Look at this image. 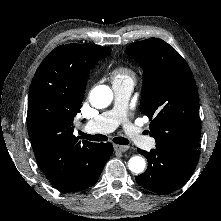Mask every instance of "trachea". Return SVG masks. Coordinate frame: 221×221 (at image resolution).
Segmentation results:
<instances>
[{"instance_id": "obj_1", "label": "trachea", "mask_w": 221, "mask_h": 221, "mask_svg": "<svg viewBox=\"0 0 221 221\" xmlns=\"http://www.w3.org/2000/svg\"><path fill=\"white\" fill-rule=\"evenodd\" d=\"M80 135L83 139H87L90 141H98V142L101 141L102 142V141H107V139H108L107 136L102 135V134L90 135L87 133L80 132ZM113 142L116 144H119V145L129 144L128 139L123 138V137H115V138H113Z\"/></svg>"}]
</instances>
